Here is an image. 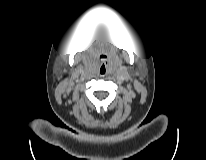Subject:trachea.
<instances>
[{"label":"trachea","instance_id":"3493384b","mask_svg":"<svg viewBox=\"0 0 206 160\" xmlns=\"http://www.w3.org/2000/svg\"><path fill=\"white\" fill-rule=\"evenodd\" d=\"M105 72V68H101V73H104Z\"/></svg>","mask_w":206,"mask_h":160}]
</instances>
